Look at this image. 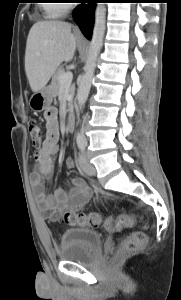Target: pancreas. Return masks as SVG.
Masks as SVG:
<instances>
[{"instance_id": "obj_1", "label": "pancreas", "mask_w": 181, "mask_h": 300, "mask_svg": "<svg viewBox=\"0 0 181 300\" xmlns=\"http://www.w3.org/2000/svg\"><path fill=\"white\" fill-rule=\"evenodd\" d=\"M65 73V70L63 68H59L53 75L52 77V82H51V88L53 92V96L56 97L60 94V89L62 87L60 83V76ZM75 93V86L74 85H69V97H73ZM68 107L69 110L72 107V102L71 100L68 101Z\"/></svg>"}]
</instances>
